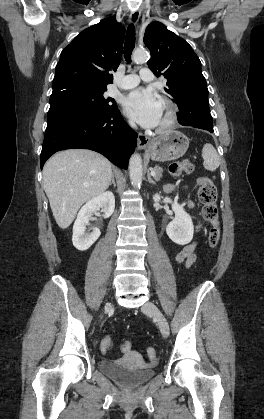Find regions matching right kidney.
Wrapping results in <instances>:
<instances>
[{
    "label": "right kidney",
    "instance_id": "obj_1",
    "mask_svg": "<svg viewBox=\"0 0 264 419\" xmlns=\"http://www.w3.org/2000/svg\"><path fill=\"white\" fill-rule=\"evenodd\" d=\"M100 208L103 209L104 218H108L113 214L115 209V197L112 192L107 191L99 194L90 199L80 209L73 226L72 242L76 249L85 251L99 238L101 234L99 228L95 227L90 234L85 233V230L93 214L97 213Z\"/></svg>",
    "mask_w": 264,
    "mask_h": 419
}]
</instances>
